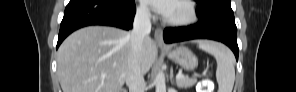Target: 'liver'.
I'll list each match as a JSON object with an SVG mask.
<instances>
[{"mask_svg": "<svg viewBox=\"0 0 296 92\" xmlns=\"http://www.w3.org/2000/svg\"><path fill=\"white\" fill-rule=\"evenodd\" d=\"M131 53L130 32L89 26L68 36L57 54V74L63 92H120ZM157 56L156 43L147 36L141 52L146 74Z\"/></svg>", "mask_w": 296, "mask_h": 92, "instance_id": "liver-1", "label": "liver"}]
</instances>
